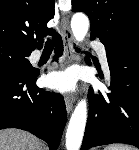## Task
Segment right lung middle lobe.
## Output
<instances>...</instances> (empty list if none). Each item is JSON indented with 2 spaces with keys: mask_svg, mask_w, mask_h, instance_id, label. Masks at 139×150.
<instances>
[{
  "mask_svg": "<svg viewBox=\"0 0 139 150\" xmlns=\"http://www.w3.org/2000/svg\"><path fill=\"white\" fill-rule=\"evenodd\" d=\"M30 54L31 52L0 45V65H13L31 71L33 68L28 60Z\"/></svg>",
  "mask_w": 139,
  "mask_h": 150,
  "instance_id": "obj_1",
  "label": "right lung middle lobe"
}]
</instances>
